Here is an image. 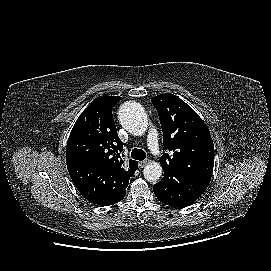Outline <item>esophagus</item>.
<instances>
[{"instance_id":"obj_1","label":"esophagus","mask_w":271,"mask_h":271,"mask_svg":"<svg viewBox=\"0 0 271 271\" xmlns=\"http://www.w3.org/2000/svg\"><path fill=\"white\" fill-rule=\"evenodd\" d=\"M149 161L148 160H143L139 162V168H143Z\"/></svg>"}]
</instances>
